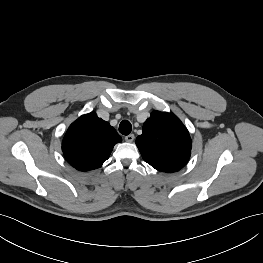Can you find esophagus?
<instances>
[{"instance_id":"34e87169","label":"esophagus","mask_w":263,"mask_h":263,"mask_svg":"<svg viewBox=\"0 0 263 263\" xmlns=\"http://www.w3.org/2000/svg\"><path fill=\"white\" fill-rule=\"evenodd\" d=\"M134 134H129L127 136H125V141L126 142H132L134 140Z\"/></svg>"}]
</instances>
